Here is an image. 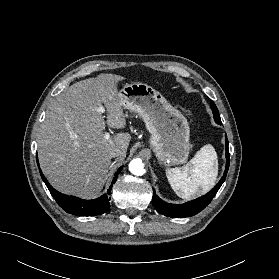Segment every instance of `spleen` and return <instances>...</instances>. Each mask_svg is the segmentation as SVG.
I'll return each mask as SVG.
<instances>
[{
    "label": "spleen",
    "mask_w": 279,
    "mask_h": 279,
    "mask_svg": "<svg viewBox=\"0 0 279 279\" xmlns=\"http://www.w3.org/2000/svg\"><path fill=\"white\" fill-rule=\"evenodd\" d=\"M218 175V160L214 147L204 145L184 166L166 170L167 179L175 193L189 199L208 191Z\"/></svg>",
    "instance_id": "3e777b00"
}]
</instances>
